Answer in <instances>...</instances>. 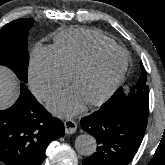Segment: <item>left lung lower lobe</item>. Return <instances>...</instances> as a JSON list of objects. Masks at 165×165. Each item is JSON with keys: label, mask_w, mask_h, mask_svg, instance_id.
Instances as JSON below:
<instances>
[{"label": "left lung lower lobe", "mask_w": 165, "mask_h": 165, "mask_svg": "<svg viewBox=\"0 0 165 165\" xmlns=\"http://www.w3.org/2000/svg\"><path fill=\"white\" fill-rule=\"evenodd\" d=\"M148 114L131 110H100L81 119L82 129L97 140L94 154L82 165H127L138 150Z\"/></svg>", "instance_id": "0a47b994"}]
</instances>
